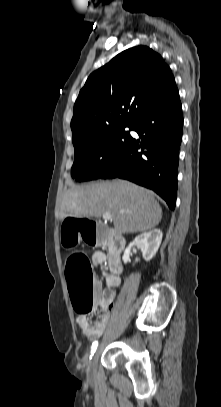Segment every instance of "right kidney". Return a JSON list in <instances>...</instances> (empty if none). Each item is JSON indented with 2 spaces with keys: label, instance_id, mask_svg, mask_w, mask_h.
Listing matches in <instances>:
<instances>
[{
  "label": "right kidney",
  "instance_id": "1",
  "mask_svg": "<svg viewBox=\"0 0 221 407\" xmlns=\"http://www.w3.org/2000/svg\"><path fill=\"white\" fill-rule=\"evenodd\" d=\"M162 231L160 229H153L149 232L140 234L135 240L129 244L125 249L122 260L127 263L130 260L131 247L136 244L141 248L143 258L145 261H150L158 251L162 241Z\"/></svg>",
  "mask_w": 221,
  "mask_h": 407
}]
</instances>
